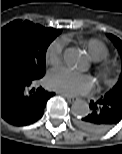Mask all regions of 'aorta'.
Listing matches in <instances>:
<instances>
[{
	"label": "aorta",
	"instance_id": "obj_1",
	"mask_svg": "<svg viewBox=\"0 0 122 154\" xmlns=\"http://www.w3.org/2000/svg\"><path fill=\"white\" fill-rule=\"evenodd\" d=\"M83 60V55L80 50L76 48H68L64 52V62L67 66L76 68ZM90 108L87 102L77 100L73 102L71 112L76 117H84L89 114Z\"/></svg>",
	"mask_w": 122,
	"mask_h": 154
}]
</instances>
